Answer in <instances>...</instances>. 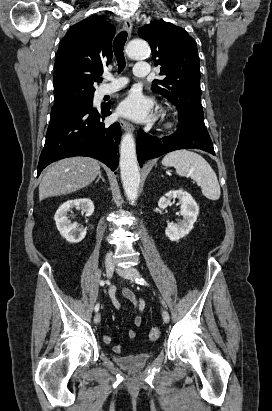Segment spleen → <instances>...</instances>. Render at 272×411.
Listing matches in <instances>:
<instances>
[{
  "label": "spleen",
  "mask_w": 272,
  "mask_h": 411,
  "mask_svg": "<svg viewBox=\"0 0 272 411\" xmlns=\"http://www.w3.org/2000/svg\"><path fill=\"white\" fill-rule=\"evenodd\" d=\"M164 166H173L179 176H190L201 187L203 195L213 201L220 198V185L214 170L199 154L189 150L170 152L162 159Z\"/></svg>",
  "instance_id": "spleen-1"
}]
</instances>
